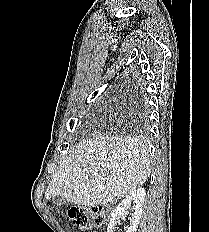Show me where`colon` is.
<instances>
[{
  "label": "colon",
  "instance_id": "obj_1",
  "mask_svg": "<svg viewBox=\"0 0 209 232\" xmlns=\"http://www.w3.org/2000/svg\"><path fill=\"white\" fill-rule=\"evenodd\" d=\"M70 221L81 230L91 229L93 224L101 225L105 221V212L101 207H74L68 212Z\"/></svg>",
  "mask_w": 209,
  "mask_h": 232
}]
</instances>
